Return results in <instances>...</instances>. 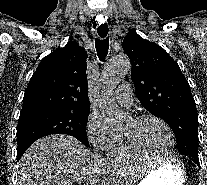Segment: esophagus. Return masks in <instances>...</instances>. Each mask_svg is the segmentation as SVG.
Instances as JSON below:
<instances>
[{
  "instance_id": "1",
  "label": "esophagus",
  "mask_w": 207,
  "mask_h": 185,
  "mask_svg": "<svg viewBox=\"0 0 207 185\" xmlns=\"http://www.w3.org/2000/svg\"><path fill=\"white\" fill-rule=\"evenodd\" d=\"M99 13H102V10H99ZM96 24H107V19H102V16H99V19H96ZM98 30H109V25H98ZM98 38H107V33H98Z\"/></svg>"
}]
</instances>
